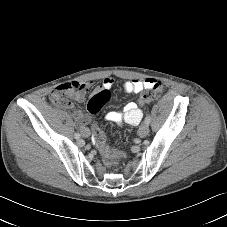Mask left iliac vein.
Instances as JSON below:
<instances>
[{"label": "left iliac vein", "instance_id": "obj_1", "mask_svg": "<svg viewBox=\"0 0 227 227\" xmlns=\"http://www.w3.org/2000/svg\"><path fill=\"white\" fill-rule=\"evenodd\" d=\"M148 133H149V126L148 124L143 123L138 130V135L143 138V137H146Z\"/></svg>", "mask_w": 227, "mask_h": 227}]
</instances>
